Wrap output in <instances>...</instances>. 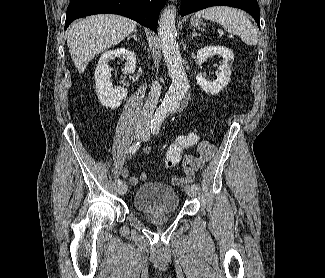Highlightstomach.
<instances>
[{
	"label": "stomach",
	"mask_w": 325,
	"mask_h": 278,
	"mask_svg": "<svg viewBox=\"0 0 325 278\" xmlns=\"http://www.w3.org/2000/svg\"><path fill=\"white\" fill-rule=\"evenodd\" d=\"M190 22L194 26H199L202 24V20L198 17H192Z\"/></svg>",
	"instance_id": "stomach-1"
}]
</instances>
